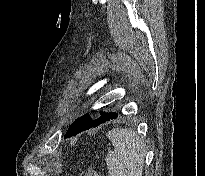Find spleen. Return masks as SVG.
<instances>
[{
  "label": "spleen",
  "mask_w": 205,
  "mask_h": 176,
  "mask_svg": "<svg viewBox=\"0 0 205 176\" xmlns=\"http://www.w3.org/2000/svg\"><path fill=\"white\" fill-rule=\"evenodd\" d=\"M108 138L114 147L106 156L110 176H142L146 151L140 137L130 129H112Z\"/></svg>",
  "instance_id": "obj_1"
}]
</instances>
